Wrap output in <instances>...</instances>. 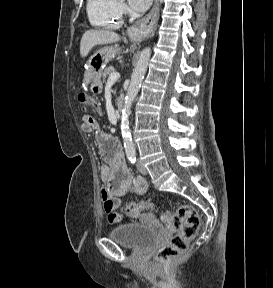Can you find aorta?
<instances>
[{
    "label": "aorta",
    "instance_id": "1",
    "mask_svg": "<svg viewBox=\"0 0 273 288\" xmlns=\"http://www.w3.org/2000/svg\"><path fill=\"white\" fill-rule=\"evenodd\" d=\"M150 56H151V49L149 47L141 51L137 64L131 75V82L124 99V104L121 113V132L125 152L127 155L135 154V147L132 142L131 132L129 128V116L131 114L132 103L139 92L141 83L147 71Z\"/></svg>",
    "mask_w": 273,
    "mask_h": 288
}]
</instances>
